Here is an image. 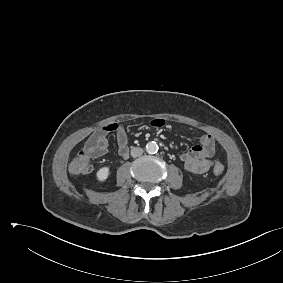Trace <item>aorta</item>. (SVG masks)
Returning <instances> with one entry per match:
<instances>
[{"label":"aorta","instance_id":"1","mask_svg":"<svg viewBox=\"0 0 283 283\" xmlns=\"http://www.w3.org/2000/svg\"><path fill=\"white\" fill-rule=\"evenodd\" d=\"M146 151L150 154L156 153L158 151V145L156 142L151 141L146 145Z\"/></svg>","mask_w":283,"mask_h":283}]
</instances>
